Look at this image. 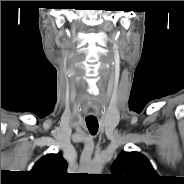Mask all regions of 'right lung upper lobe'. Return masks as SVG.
Instances as JSON below:
<instances>
[{"label": "right lung upper lobe", "instance_id": "cb5924a9", "mask_svg": "<svg viewBox=\"0 0 184 184\" xmlns=\"http://www.w3.org/2000/svg\"><path fill=\"white\" fill-rule=\"evenodd\" d=\"M67 162L62 154H48L42 157L32 168L31 172L38 182L43 184H62L67 180Z\"/></svg>", "mask_w": 184, "mask_h": 184}]
</instances>
